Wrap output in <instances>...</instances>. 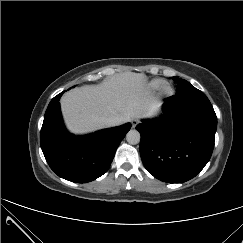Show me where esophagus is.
Wrapping results in <instances>:
<instances>
[{"label":"esophagus","mask_w":243,"mask_h":243,"mask_svg":"<svg viewBox=\"0 0 243 243\" xmlns=\"http://www.w3.org/2000/svg\"><path fill=\"white\" fill-rule=\"evenodd\" d=\"M139 121L137 119H132L131 124L132 127L135 128L138 125Z\"/></svg>","instance_id":"34e87169"}]
</instances>
